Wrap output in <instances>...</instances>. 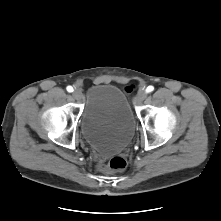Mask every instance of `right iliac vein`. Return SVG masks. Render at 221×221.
<instances>
[{"label":"right iliac vein","instance_id":"1","mask_svg":"<svg viewBox=\"0 0 221 221\" xmlns=\"http://www.w3.org/2000/svg\"><path fill=\"white\" fill-rule=\"evenodd\" d=\"M73 97L76 99V100H81L82 98V92L80 89H75L74 92H73Z\"/></svg>","mask_w":221,"mask_h":221}]
</instances>
